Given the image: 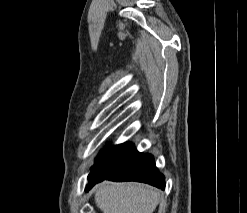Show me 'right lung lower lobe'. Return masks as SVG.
Here are the masks:
<instances>
[{
  "label": "right lung lower lobe",
  "instance_id": "1",
  "mask_svg": "<svg viewBox=\"0 0 247 213\" xmlns=\"http://www.w3.org/2000/svg\"><path fill=\"white\" fill-rule=\"evenodd\" d=\"M103 180L138 181L164 189V176L155 166L150 154L139 153L132 143L114 147L98 166V175L89 181L86 190Z\"/></svg>",
  "mask_w": 247,
  "mask_h": 213
}]
</instances>
